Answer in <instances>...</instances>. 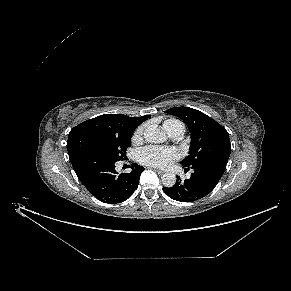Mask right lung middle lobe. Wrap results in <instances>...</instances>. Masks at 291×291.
<instances>
[{"instance_id": "obj_1", "label": "right lung middle lobe", "mask_w": 291, "mask_h": 291, "mask_svg": "<svg viewBox=\"0 0 291 291\" xmlns=\"http://www.w3.org/2000/svg\"><path fill=\"white\" fill-rule=\"evenodd\" d=\"M130 134L110 135L108 137L95 140L88 147V152H95L108 156L116 161L126 157V149L131 144Z\"/></svg>"}]
</instances>
